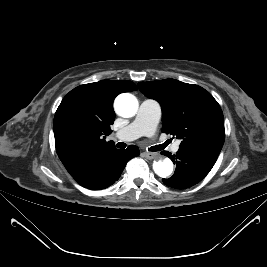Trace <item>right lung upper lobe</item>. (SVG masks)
Masks as SVG:
<instances>
[{
	"label": "right lung upper lobe",
	"instance_id": "cb5924a9",
	"mask_svg": "<svg viewBox=\"0 0 267 267\" xmlns=\"http://www.w3.org/2000/svg\"><path fill=\"white\" fill-rule=\"evenodd\" d=\"M134 90L132 81L102 80L78 86L63 98L53 129L56 151L67 171L100 149L114 148L105 140L115 119L113 101L118 94Z\"/></svg>",
	"mask_w": 267,
	"mask_h": 267
}]
</instances>
